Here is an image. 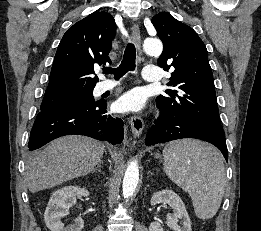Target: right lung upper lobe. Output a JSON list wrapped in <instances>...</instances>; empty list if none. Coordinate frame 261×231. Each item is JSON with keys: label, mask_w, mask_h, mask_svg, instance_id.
Masks as SVG:
<instances>
[{"label": "right lung upper lobe", "mask_w": 261, "mask_h": 231, "mask_svg": "<svg viewBox=\"0 0 261 231\" xmlns=\"http://www.w3.org/2000/svg\"><path fill=\"white\" fill-rule=\"evenodd\" d=\"M116 25L107 12L93 13L64 34L50 73L46 91L93 89L98 82L94 66L110 63Z\"/></svg>", "instance_id": "1"}]
</instances>
